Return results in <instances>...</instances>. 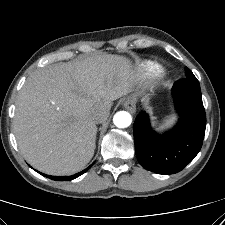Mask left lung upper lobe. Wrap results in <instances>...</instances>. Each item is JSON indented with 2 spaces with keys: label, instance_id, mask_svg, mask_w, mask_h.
Listing matches in <instances>:
<instances>
[{
  "label": "left lung upper lobe",
  "instance_id": "obj_1",
  "mask_svg": "<svg viewBox=\"0 0 225 225\" xmlns=\"http://www.w3.org/2000/svg\"><path fill=\"white\" fill-rule=\"evenodd\" d=\"M186 72V78L192 79V80H197L192 71H190L187 67L185 68Z\"/></svg>",
  "mask_w": 225,
  "mask_h": 225
}]
</instances>
